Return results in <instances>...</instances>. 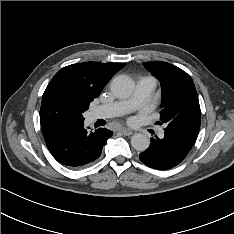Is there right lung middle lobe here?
Listing matches in <instances>:
<instances>
[{
  "label": "right lung middle lobe",
  "instance_id": "obj_1",
  "mask_svg": "<svg viewBox=\"0 0 234 234\" xmlns=\"http://www.w3.org/2000/svg\"><path fill=\"white\" fill-rule=\"evenodd\" d=\"M89 107L59 91H49L43 94L40 108V123L45 125L55 121L83 120L82 113Z\"/></svg>",
  "mask_w": 234,
  "mask_h": 234
}]
</instances>
